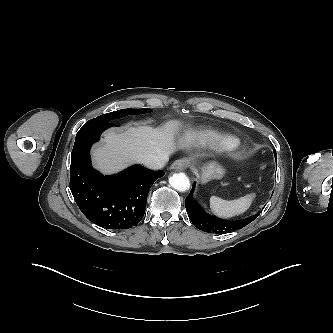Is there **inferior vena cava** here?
Masks as SVG:
<instances>
[{"mask_svg":"<svg viewBox=\"0 0 333 333\" xmlns=\"http://www.w3.org/2000/svg\"><path fill=\"white\" fill-rule=\"evenodd\" d=\"M167 162V157H152V158H144L140 160V163L152 170H158L164 167Z\"/></svg>","mask_w":333,"mask_h":333,"instance_id":"602c4592","label":"inferior vena cava"}]
</instances>
